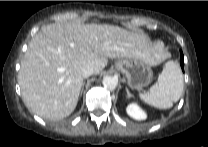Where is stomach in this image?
<instances>
[{
  "instance_id": "stomach-1",
  "label": "stomach",
  "mask_w": 208,
  "mask_h": 147,
  "mask_svg": "<svg viewBox=\"0 0 208 147\" xmlns=\"http://www.w3.org/2000/svg\"><path fill=\"white\" fill-rule=\"evenodd\" d=\"M115 68L127 78L132 89H142L150 84L153 73L151 67L140 59L122 58L116 61Z\"/></svg>"
}]
</instances>
